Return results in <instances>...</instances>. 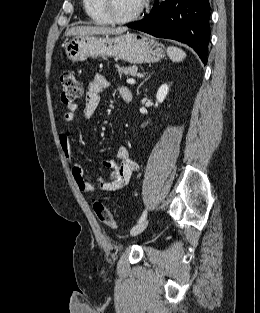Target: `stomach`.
<instances>
[{"label":"stomach","instance_id":"obj_1","mask_svg":"<svg viewBox=\"0 0 260 313\" xmlns=\"http://www.w3.org/2000/svg\"><path fill=\"white\" fill-rule=\"evenodd\" d=\"M69 60L82 61L93 56H112L133 64L154 63L165 55L164 46L155 39L136 33L115 37L76 36L65 45Z\"/></svg>","mask_w":260,"mask_h":313}]
</instances>
